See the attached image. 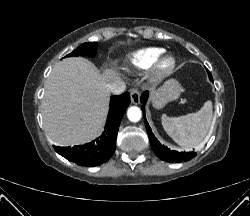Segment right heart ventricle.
Listing matches in <instances>:
<instances>
[{
  "label": "right heart ventricle",
  "mask_w": 250,
  "mask_h": 216,
  "mask_svg": "<svg viewBox=\"0 0 250 216\" xmlns=\"http://www.w3.org/2000/svg\"><path fill=\"white\" fill-rule=\"evenodd\" d=\"M164 51L160 47L143 48L128 55L127 63L134 70L146 71Z\"/></svg>",
  "instance_id": "1"
}]
</instances>
